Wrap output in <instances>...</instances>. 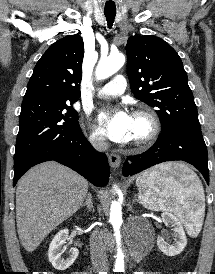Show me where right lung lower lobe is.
<instances>
[{
    "label": "right lung lower lobe",
    "instance_id": "98d812e1",
    "mask_svg": "<svg viewBox=\"0 0 215 274\" xmlns=\"http://www.w3.org/2000/svg\"><path fill=\"white\" fill-rule=\"evenodd\" d=\"M48 160L70 167L96 186L104 187L108 183L110 168L106 155L97 152L78 131L43 145L15 164L13 185L32 166Z\"/></svg>",
    "mask_w": 215,
    "mask_h": 274
}]
</instances>
